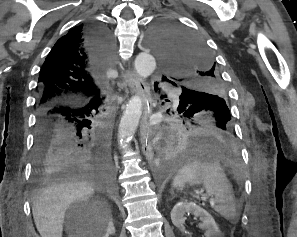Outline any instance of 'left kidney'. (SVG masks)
I'll return each mask as SVG.
<instances>
[{"instance_id": "1", "label": "left kidney", "mask_w": 297, "mask_h": 237, "mask_svg": "<svg viewBox=\"0 0 297 237\" xmlns=\"http://www.w3.org/2000/svg\"><path fill=\"white\" fill-rule=\"evenodd\" d=\"M192 214L199 217L202 223L199 227L205 229V237H220V229L214 218L203 208L193 202H178L171 211V220L182 233H185V214Z\"/></svg>"}]
</instances>
